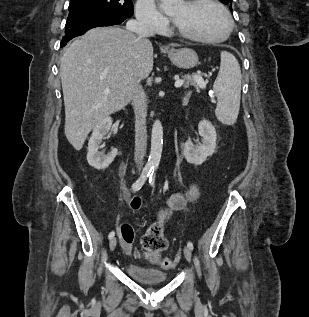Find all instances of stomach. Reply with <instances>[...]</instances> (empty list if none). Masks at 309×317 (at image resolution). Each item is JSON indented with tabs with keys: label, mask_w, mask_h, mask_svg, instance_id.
<instances>
[{
	"label": "stomach",
	"mask_w": 309,
	"mask_h": 317,
	"mask_svg": "<svg viewBox=\"0 0 309 317\" xmlns=\"http://www.w3.org/2000/svg\"><path fill=\"white\" fill-rule=\"evenodd\" d=\"M168 57L175 66L181 69H190L198 64V55L190 48H173L168 51Z\"/></svg>",
	"instance_id": "obj_1"
}]
</instances>
